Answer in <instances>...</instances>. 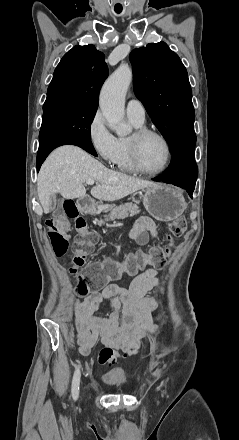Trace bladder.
Here are the masks:
<instances>
[{
    "mask_svg": "<svg viewBox=\"0 0 239 440\" xmlns=\"http://www.w3.org/2000/svg\"><path fill=\"white\" fill-rule=\"evenodd\" d=\"M102 382L111 388H119L126 384L127 375L122 369H114L101 377Z\"/></svg>",
    "mask_w": 239,
    "mask_h": 440,
    "instance_id": "31cf9c89",
    "label": "bladder"
}]
</instances>
